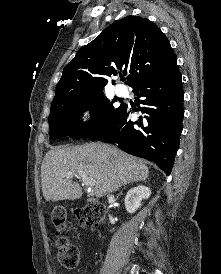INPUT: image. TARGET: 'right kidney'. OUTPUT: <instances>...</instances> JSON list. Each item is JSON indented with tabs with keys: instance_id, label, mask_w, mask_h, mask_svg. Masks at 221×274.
I'll return each instance as SVG.
<instances>
[{
	"instance_id": "ca27d5eb",
	"label": "right kidney",
	"mask_w": 221,
	"mask_h": 274,
	"mask_svg": "<svg viewBox=\"0 0 221 274\" xmlns=\"http://www.w3.org/2000/svg\"><path fill=\"white\" fill-rule=\"evenodd\" d=\"M151 194V190L143 185L134 187L127 192L125 197V207L130 214H133L139 207H141V201L148 199Z\"/></svg>"
}]
</instances>
